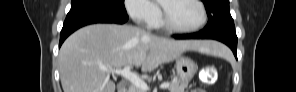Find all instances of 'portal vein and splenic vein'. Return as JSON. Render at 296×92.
<instances>
[{
  "instance_id": "portal-vein-and-splenic-vein-1",
  "label": "portal vein and splenic vein",
  "mask_w": 296,
  "mask_h": 92,
  "mask_svg": "<svg viewBox=\"0 0 296 92\" xmlns=\"http://www.w3.org/2000/svg\"><path fill=\"white\" fill-rule=\"evenodd\" d=\"M130 69H131V66H126L123 69H113V70L104 69V70L111 72V73H115L117 75H121V76L125 77L126 79H128L136 87H138L144 91H148L149 87H148L147 83H145L137 75L132 73ZM168 86H169V83H162L160 85V88H167Z\"/></svg>"
}]
</instances>
